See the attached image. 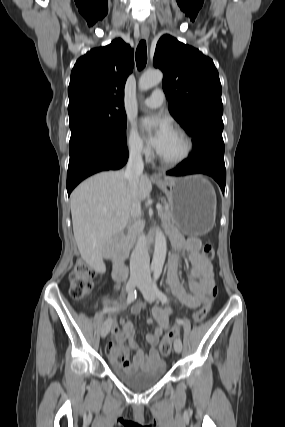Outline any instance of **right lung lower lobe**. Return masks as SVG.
I'll list each match as a JSON object with an SVG mask.
<instances>
[{
  "instance_id": "1",
  "label": "right lung lower lobe",
  "mask_w": 285,
  "mask_h": 427,
  "mask_svg": "<svg viewBox=\"0 0 285 427\" xmlns=\"http://www.w3.org/2000/svg\"><path fill=\"white\" fill-rule=\"evenodd\" d=\"M127 160L126 146H114L97 139L81 143L70 153L67 173L68 195L88 176L100 171L120 169Z\"/></svg>"
}]
</instances>
